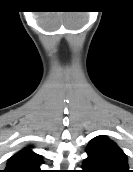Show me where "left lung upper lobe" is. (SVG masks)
I'll list each match as a JSON object with an SVG mask.
<instances>
[{
    "mask_svg": "<svg viewBox=\"0 0 133 172\" xmlns=\"http://www.w3.org/2000/svg\"><path fill=\"white\" fill-rule=\"evenodd\" d=\"M86 151L82 172H131L126 154L105 135L93 138Z\"/></svg>",
    "mask_w": 133,
    "mask_h": 172,
    "instance_id": "obj_1",
    "label": "left lung upper lobe"
}]
</instances>
